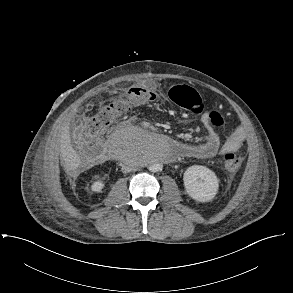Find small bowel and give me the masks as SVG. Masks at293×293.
I'll use <instances>...</instances> for the list:
<instances>
[{
  "label": "small bowel",
  "instance_id": "small-bowel-1",
  "mask_svg": "<svg viewBox=\"0 0 293 293\" xmlns=\"http://www.w3.org/2000/svg\"><path fill=\"white\" fill-rule=\"evenodd\" d=\"M201 120L207 130L205 140L199 144H187V149L182 151V157L209 159L217 155L225 154L229 151H236L243 145L245 139L243 130H234L228 135L224 142H221L218 134L208 124L206 114L202 115Z\"/></svg>",
  "mask_w": 293,
  "mask_h": 293
}]
</instances>
